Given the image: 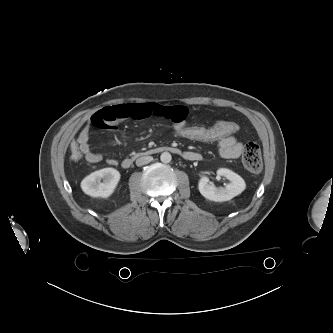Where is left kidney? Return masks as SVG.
Instances as JSON below:
<instances>
[{
    "instance_id": "1",
    "label": "left kidney",
    "mask_w": 333,
    "mask_h": 333,
    "mask_svg": "<svg viewBox=\"0 0 333 333\" xmlns=\"http://www.w3.org/2000/svg\"><path fill=\"white\" fill-rule=\"evenodd\" d=\"M217 174L228 179L230 183L225 187H216L213 183L209 182L207 177H202L198 187L201 195L206 199L215 202L229 201L245 190L246 184L244 179L235 172L229 169L220 168L218 169Z\"/></svg>"
}]
</instances>
